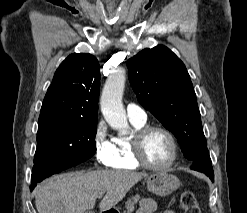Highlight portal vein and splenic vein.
I'll use <instances>...</instances> for the list:
<instances>
[{"mask_svg":"<svg viewBox=\"0 0 247 213\" xmlns=\"http://www.w3.org/2000/svg\"><path fill=\"white\" fill-rule=\"evenodd\" d=\"M103 194H104V193H100V194L98 195V198H102Z\"/></svg>","mask_w":247,"mask_h":213,"instance_id":"18ae733b","label":"portal vein and splenic vein"}]
</instances>
